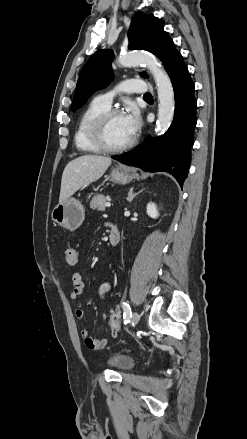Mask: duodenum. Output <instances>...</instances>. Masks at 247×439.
Segmentation results:
<instances>
[{"label":"duodenum","mask_w":247,"mask_h":439,"mask_svg":"<svg viewBox=\"0 0 247 439\" xmlns=\"http://www.w3.org/2000/svg\"><path fill=\"white\" fill-rule=\"evenodd\" d=\"M109 242L112 246H116L120 242V231L116 225H109Z\"/></svg>","instance_id":"410a0bca"}]
</instances>
